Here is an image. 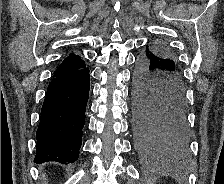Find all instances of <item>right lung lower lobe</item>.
Listing matches in <instances>:
<instances>
[{"label": "right lung lower lobe", "instance_id": "obj_1", "mask_svg": "<svg viewBox=\"0 0 224 184\" xmlns=\"http://www.w3.org/2000/svg\"><path fill=\"white\" fill-rule=\"evenodd\" d=\"M89 86V68L85 63L77 68L55 72L41 109L34 162L68 164L77 160Z\"/></svg>", "mask_w": 224, "mask_h": 184}]
</instances>
